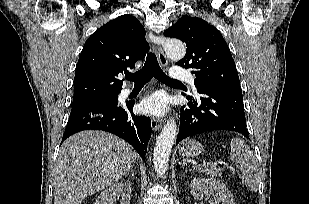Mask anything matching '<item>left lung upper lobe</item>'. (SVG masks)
Here are the masks:
<instances>
[{"instance_id": "obj_1", "label": "left lung upper lobe", "mask_w": 309, "mask_h": 204, "mask_svg": "<svg viewBox=\"0 0 309 204\" xmlns=\"http://www.w3.org/2000/svg\"><path fill=\"white\" fill-rule=\"evenodd\" d=\"M166 37L186 43L183 59L176 64L192 69L196 88L241 90L235 62L221 33L201 18L182 16L164 31Z\"/></svg>"}]
</instances>
